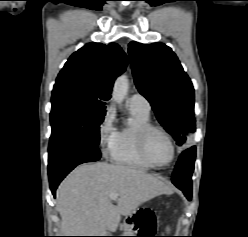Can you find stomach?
<instances>
[{
  "label": "stomach",
  "instance_id": "stomach-1",
  "mask_svg": "<svg viewBox=\"0 0 248 237\" xmlns=\"http://www.w3.org/2000/svg\"><path fill=\"white\" fill-rule=\"evenodd\" d=\"M127 233H130V234H131L132 232L129 230ZM125 236H130V235H125ZM131 236H132V235H131Z\"/></svg>",
  "mask_w": 248,
  "mask_h": 237
}]
</instances>
